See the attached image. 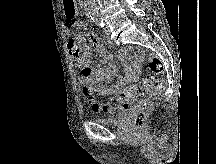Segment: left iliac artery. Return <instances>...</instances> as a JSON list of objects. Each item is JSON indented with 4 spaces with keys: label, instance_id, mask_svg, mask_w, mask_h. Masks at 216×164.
Returning a JSON list of instances; mask_svg holds the SVG:
<instances>
[{
    "label": "left iliac artery",
    "instance_id": "1",
    "mask_svg": "<svg viewBox=\"0 0 216 164\" xmlns=\"http://www.w3.org/2000/svg\"><path fill=\"white\" fill-rule=\"evenodd\" d=\"M93 21H95V23H96L98 26L104 27V25H105L102 18L96 17V18L93 19Z\"/></svg>",
    "mask_w": 216,
    "mask_h": 164
}]
</instances>
